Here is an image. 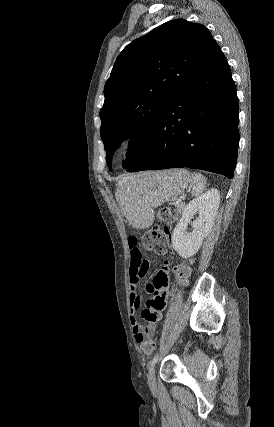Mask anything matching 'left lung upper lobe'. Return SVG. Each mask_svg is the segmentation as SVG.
<instances>
[{"label":"left lung upper lobe","instance_id":"1","mask_svg":"<svg viewBox=\"0 0 274 427\" xmlns=\"http://www.w3.org/2000/svg\"><path fill=\"white\" fill-rule=\"evenodd\" d=\"M214 42L209 30L184 19L166 22L127 45L116 59L100 110L106 161L132 138L127 168L153 141L163 116L184 81Z\"/></svg>","mask_w":274,"mask_h":427}]
</instances>
